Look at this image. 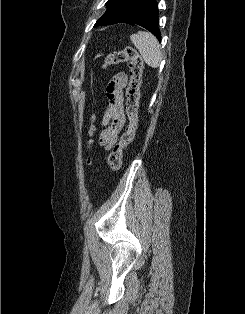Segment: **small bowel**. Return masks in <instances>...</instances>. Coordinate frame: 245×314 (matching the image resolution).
I'll list each match as a JSON object with an SVG mask.
<instances>
[{"instance_id": "obj_1", "label": "small bowel", "mask_w": 245, "mask_h": 314, "mask_svg": "<svg viewBox=\"0 0 245 314\" xmlns=\"http://www.w3.org/2000/svg\"><path fill=\"white\" fill-rule=\"evenodd\" d=\"M127 84V74H115L106 87V108L101 118L102 130L99 143L106 149L112 148L125 123L123 91Z\"/></svg>"}]
</instances>
